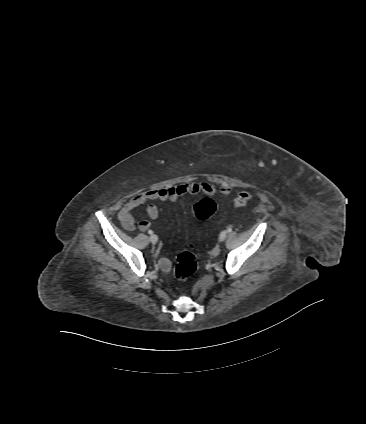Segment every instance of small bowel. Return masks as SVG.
Here are the masks:
<instances>
[{"label": "small bowel", "mask_w": 366, "mask_h": 424, "mask_svg": "<svg viewBox=\"0 0 366 424\" xmlns=\"http://www.w3.org/2000/svg\"><path fill=\"white\" fill-rule=\"evenodd\" d=\"M221 194L223 196H228L230 194V188L221 187L217 188L212 184L204 182H187L175 186L163 187L158 189H152L148 191L141 192L130 199L118 213V219L122 227L126 231H133L135 229L133 210L142 206H146V214L149 219L154 220L158 217L159 211L158 207L152 203L153 201H175L179 197L184 195H195L203 194L205 196H213L216 194ZM151 227L150 221H142L139 223V229L141 231H146ZM149 231V230H148ZM170 261L166 258H163L160 261V267L163 271H168L170 269Z\"/></svg>", "instance_id": "1"}]
</instances>
